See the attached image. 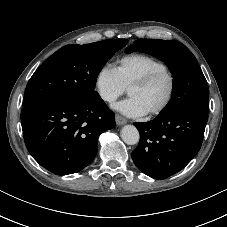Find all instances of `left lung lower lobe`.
<instances>
[{
  "instance_id": "0a47b994",
  "label": "left lung lower lobe",
  "mask_w": 227,
  "mask_h": 227,
  "mask_svg": "<svg viewBox=\"0 0 227 227\" xmlns=\"http://www.w3.org/2000/svg\"><path fill=\"white\" fill-rule=\"evenodd\" d=\"M207 120V115L181 111L135 123L140 133L132 152L135 165L160 180L179 172L200 150Z\"/></svg>"
}]
</instances>
